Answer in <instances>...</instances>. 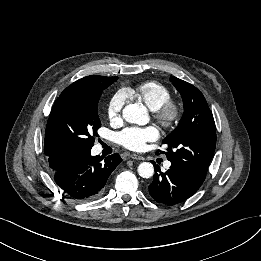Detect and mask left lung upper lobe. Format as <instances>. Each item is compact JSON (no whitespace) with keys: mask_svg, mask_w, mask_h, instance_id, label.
I'll return each instance as SVG.
<instances>
[{"mask_svg":"<svg viewBox=\"0 0 261 261\" xmlns=\"http://www.w3.org/2000/svg\"><path fill=\"white\" fill-rule=\"evenodd\" d=\"M170 80L181 93L184 114L178 127L162 141L167 146V159L204 180L216 146L212 113L196 87L176 77Z\"/></svg>","mask_w":261,"mask_h":261,"instance_id":"left-lung-upper-lobe-1","label":"left lung upper lobe"}]
</instances>
